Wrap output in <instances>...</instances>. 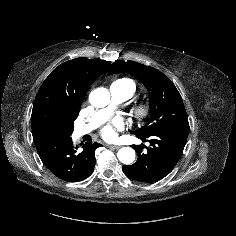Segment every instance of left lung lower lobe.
Masks as SVG:
<instances>
[{"label": "left lung lower lobe", "instance_id": "0a47b994", "mask_svg": "<svg viewBox=\"0 0 236 236\" xmlns=\"http://www.w3.org/2000/svg\"><path fill=\"white\" fill-rule=\"evenodd\" d=\"M189 134V123L172 126L147 138L149 147L133 146L137 152V161L132 165H123L124 174L135 181L154 183L166 177L178 163ZM143 148L147 151L143 152Z\"/></svg>", "mask_w": 236, "mask_h": 236}]
</instances>
